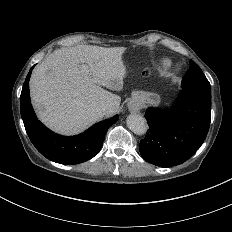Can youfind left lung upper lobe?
Masks as SVG:
<instances>
[{"mask_svg": "<svg viewBox=\"0 0 232 232\" xmlns=\"http://www.w3.org/2000/svg\"><path fill=\"white\" fill-rule=\"evenodd\" d=\"M183 90L191 92L203 97L207 101H211V86L206 79L200 67L190 60V68L182 80Z\"/></svg>", "mask_w": 232, "mask_h": 232, "instance_id": "left-lung-upper-lobe-1", "label": "left lung upper lobe"}]
</instances>
